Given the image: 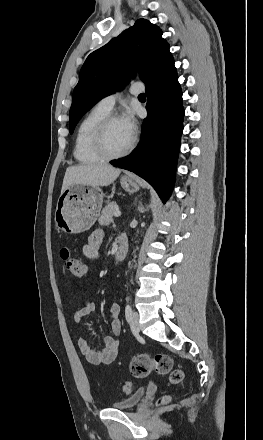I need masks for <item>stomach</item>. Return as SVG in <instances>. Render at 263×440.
<instances>
[{"instance_id":"1","label":"stomach","mask_w":263,"mask_h":440,"mask_svg":"<svg viewBox=\"0 0 263 440\" xmlns=\"http://www.w3.org/2000/svg\"><path fill=\"white\" fill-rule=\"evenodd\" d=\"M120 183L129 193L139 190V184L130 177H122ZM103 197L99 187L81 184L68 186L57 201L56 226L68 234H78L90 229L100 215Z\"/></svg>"}]
</instances>
